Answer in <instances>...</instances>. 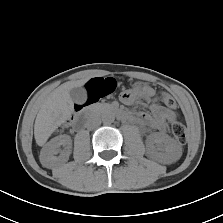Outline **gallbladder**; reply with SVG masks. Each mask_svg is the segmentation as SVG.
Here are the masks:
<instances>
[{
  "instance_id": "bac80fb5",
  "label": "gallbladder",
  "mask_w": 223,
  "mask_h": 223,
  "mask_svg": "<svg viewBox=\"0 0 223 223\" xmlns=\"http://www.w3.org/2000/svg\"><path fill=\"white\" fill-rule=\"evenodd\" d=\"M70 96L74 102L83 103L87 98V92L83 87H74L70 90Z\"/></svg>"
}]
</instances>
